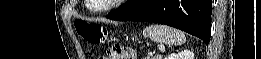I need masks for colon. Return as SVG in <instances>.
I'll return each mask as SVG.
<instances>
[{
    "instance_id": "5ec220e1",
    "label": "colon",
    "mask_w": 261,
    "mask_h": 59,
    "mask_svg": "<svg viewBox=\"0 0 261 59\" xmlns=\"http://www.w3.org/2000/svg\"><path fill=\"white\" fill-rule=\"evenodd\" d=\"M78 34L93 45L104 44L107 40L106 28L98 23L77 22L75 24ZM109 59H135L132 49L124 46H113L108 50Z\"/></svg>"
}]
</instances>
